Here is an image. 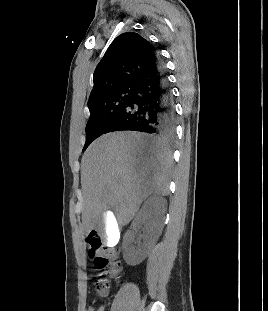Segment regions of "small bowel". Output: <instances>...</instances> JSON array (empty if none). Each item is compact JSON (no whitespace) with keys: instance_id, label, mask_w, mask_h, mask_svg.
I'll return each mask as SVG.
<instances>
[{"instance_id":"c3829d8e","label":"small bowel","mask_w":268,"mask_h":311,"mask_svg":"<svg viewBox=\"0 0 268 311\" xmlns=\"http://www.w3.org/2000/svg\"><path fill=\"white\" fill-rule=\"evenodd\" d=\"M85 311H94L93 307L92 306H88Z\"/></svg>"}]
</instances>
